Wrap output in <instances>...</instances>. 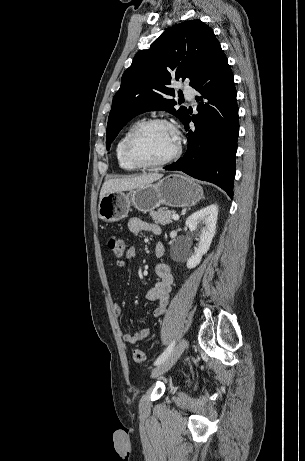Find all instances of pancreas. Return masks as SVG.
<instances>
[{
    "mask_svg": "<svg viewBox=\"0 0 305 461\" xmlns=\"http://www.w3.org/2000/svg\"><path fill=\"white\" fill-rule=\"evenodd\" d=\"M175 214L174 210L168 208H160L157 211H151L150 216L156 224L167 225L172 223V215Z\"/></svg>",
    "mask_w": 305,
    "mask_h": 461,
    "instance_id": "obj_1",
    "label": "pancreas"
}]
</instances>
